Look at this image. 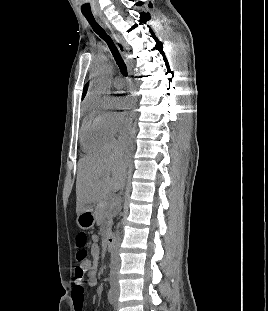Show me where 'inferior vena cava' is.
I'll use <instances>...</instances> for the list:
<instances>
[{
	"mask_svg": "<svg viewBox=\"0 0 268 311\" xmlns=\"http://www.w3.org/2000/svg\"><path fill=\"white\" fill-rule=\"evenodd\" d=\"M121 149H125L126 150V144H123V142L120 143ZM120 244V237L118 232L116 233V237H115V247L113 249V251L111 252V282L116 285V281H117V276H118V268H119V255H118V246Z\"/></svg>",
	"mask_w": 268,
	"mask_h": 311,
	"instance_id": "obj_1",
	"label": "inferior vena cava"
}]
</instances>
